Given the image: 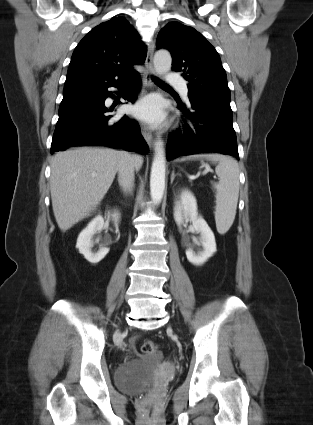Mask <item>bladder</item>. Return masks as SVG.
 I'll use <instances>...</instances> for the list:
<instances>
[{
	"instance_id": "bladder-1",
	"label": "bladder",
	"mask_w": 313,
	"mask_h": 425,
	"mask_svg": "<svg viewBox=\"0 0 313 425\" xmlns=\"http://www.w3.org/2000/svg\"><path fill=\"white\" fill-rule=\"evenodd\" d=\"M161 356L136 358L121 363L116 370L115 384L119 390L137 393L154 384Z\"/></svg>"
}]
</instances>
